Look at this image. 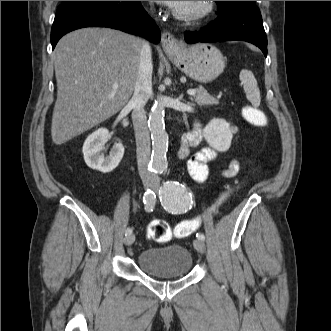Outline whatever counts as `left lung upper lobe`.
Segmentation results:
<instances>
[{"label":"left lung upper lobe","mask_w":331,"mask_h":331,"mask_svg":"<svg viewBox=\"0 0 331 331\" xmlns=\"http://www.w3.org/2000/svg\"><path fill=\"white\" fill-rule=\"evenodd\" d=\"M218 15L235 9H246L256 7L255 1H216Z\"/></svg>","instance_id":"5c2ea615"}]
</instances>
